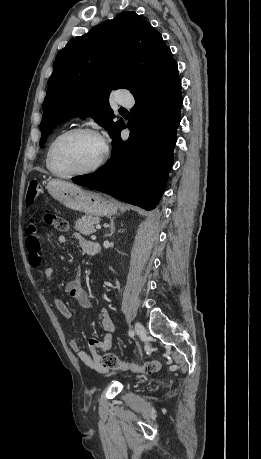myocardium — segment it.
Instances as JSON below:
<instances>
[{"label":"myocardium","mask_w":261,"mask_h":459,"mask_svg":"<svg viewBox=\"0 0 261 459\" xmlns=\"http://www.w3.org/2000/svg\"><path fill=\"white\" fill-rule=\"evenodd\" d=\"M76 134L91 135L97 138L98 140H100V142L102 143V147H103L102 153L100 157L98 158V160L93 165H91L90 167L86 169L75 171V172H70V173L59 172L53 166V154H54L55 148L62 139L68 136H71V135H76ZM108 155H109L108 145L106 144L102 136L96 130L88 128V127H75V128H71V129H68L60 133L51 142L49 146L48 154H47V168L52 174L58 177H62V178H72V177H77V176H84V175L92 174L96 172L97 170H99L102 167V165L105 163L106 159L108 158Z\"/></svg>","instance_id":"1"}]
</instances>
